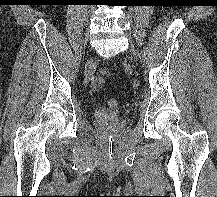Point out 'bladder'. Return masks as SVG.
<instances>
[{
  "mask_svg": "<svg viewBox=\"0 0 217 197\" xmlns=\"http://www.w3.org/2000/svg\"><path fill=\"white\" fill-rule=\"evenodd\" d=\"M95 118L107 126H116L120 123V115L112 110L100 109L95 113Z\"/></svg>",
  "mask_w": 217,
  "mask_h": 197,
  "instance_id": "bladder-1",
  "label": "bladder"
}]
</instances>
